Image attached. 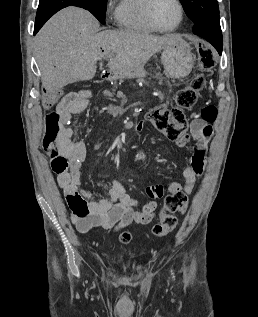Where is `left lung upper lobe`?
<instances>
[{
    "mask_svg": "<svg viewBox=\"0 0 258 317\" xmlns=\"http://www.w3.org/2000/svg\"><path fill=\"white\" fill-rule=\"evenodd\" d=\"M194 27L212 26L220 28L217 0H180Z\"/></svg>",
    "mask_w": 258,
    "mask_h": 317,
    "instance_id": "obj_1",
    "label": "left lung upper lobe"
}]
</instances>
